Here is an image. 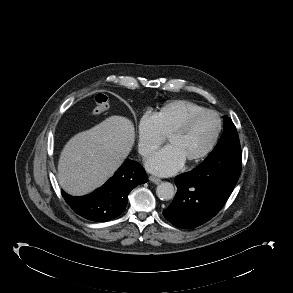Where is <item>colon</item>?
I'll return each instance as SVG.
<instances>
[{
    "instance_id": "obj_1",
    "label": "colon",
    "mask_w": 293,
    "mask_h": 293,
    "mask_svg": "<svg viewBox=\"0 0 293 293\" xmlns=\"http://www.w3.org/2000/svg\"><path fill=\"white\" fill-rule=\"evenodd\" d=\"M92 100L94 103V108L92 110V113L94 115H100L104 112H106L109 109V98L104 93H95L92 96Z\"/></svg>"
}]
</instances>
